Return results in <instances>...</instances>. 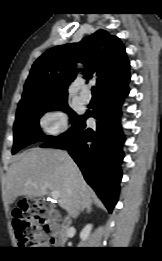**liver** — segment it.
<instances>
[{
    "label": "liver",
    "instance_id": "1",
    "mask_svg": "<svg viewBox=\"0 0 162 261\" xmlns=\"http://www.w3.org/2000/svg\"><path fill=\"white\" fill-rule=\"evenodd\" d=\"M48 190L60 193L59 205L74 218L91 207L93 191L68 153L38 147L19 155L10 166L3 199L12 204L18 196L42 197Z\"/></svg>",
    "mask_w": 162,
    "mask_h": 261
}]
</instances>
